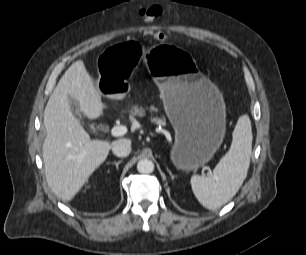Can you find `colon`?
I'll list each match as a JSON object with an SVG mask.
<instances>
[{
  "mask_svg": "<svg viewBox=\"0 0 306 255\" xmlns=\"http://www.w3.org/2000/svg\"><path fill=\"white\" fill-rule=\"evenodd\" d=\"M140 14L145 21L152 22L162 14V7L159 5H151L149 7L143 8ZM149 34L157 38L162 37V34L157 30H150Z\"/></svg>",
  "mask_w": 306,
  "mask_h": 255,
  "instance_id": "colon-1",
  "label": "colon"
}]
</instances>
